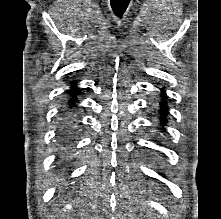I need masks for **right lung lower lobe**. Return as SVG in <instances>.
<instances>
[{"label": "right lung lower lobe", "mask_w": 221, "mask_h": 219, "mask_svg": "<svg viewBox=\"0 0 221 219\" xmlns=\"http://www.w3.org/2000/svg\"><path fill=\"white\" fill-rule=\"evenodd\" d=\"M78 89H71L70 92L72 93V100L71 103L76 101V92ZM76 123L75 121L68 115H64L62 119L59 122L58 126V133H57V143L62 151L61 157H66L69 152L68 148L73 141L75 135H76Z\"/></svg>", "instance_id": "98d812e1"}]
</instances>
